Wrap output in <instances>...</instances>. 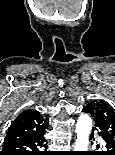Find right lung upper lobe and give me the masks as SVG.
I'll list each match as a JSON object with an SVG mask.
<instances>
[{
	"instance_id": "1",
	"label": "right lung upper lobe",
	"mask_w": 115,
	"mask_h": 155,
	"mask_svg": "<svg viewBox=\"0 0 115 155\" xmlns=\"http://www.w3.org/2000/svg\"><path fill=\"white\" fill-rule=\"evenodd\" d=\"M47 121L36 110L22 112L10 125L4 145L22 141L46 132Z\"/></svg>"
}]
</instances>
